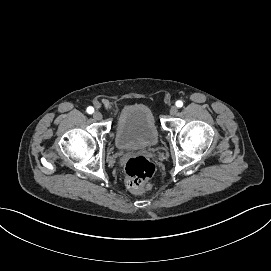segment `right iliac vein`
<instances>
[{
  "instance_id": "right-iliac-vein-1",
  "label": "right iliac vein",
  "mask_w": 271,
  "mask_h": 271,
  "mask_svg": "<svg viewBox=\"0 0 271 271\" xmlns=\"http://www.w3.org/2000/svg\"><path fill=\"white\" fill-rule=\"evenodd\" d=\"M93 118H94L95 120H100V119L102 118V114H101L99 111H95V112L93 113Z\"/></svg>"
}]
</instances>
